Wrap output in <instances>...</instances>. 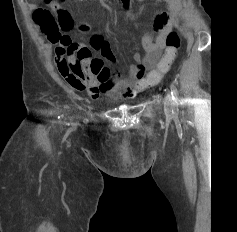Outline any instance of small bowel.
<instances>
[{
  "label": "small bowel",
  "mask_w": 237,
  "mask_h": 232,
  "mask_svg": "<svg viewBox=\"0 0 237 232\" xmlns=\"http://www.w3.org/2000/svg\"><path fill=\"white\" fill-rule=\"evenodd\" d=\"M162 1L167 3L168 10L156 17L155 33L144 36L146 55L143 58L138 54L133 56L134 65L127 78L122 77L109 42L99 34L93 36L89 46L71 41L58 46L54 63L59 73L74 89L86 91L93 99L102 94L122 99L139 95L148 87L145 75L158 62L181 9V0ZM92 52L100 53L102 58L92 57Z\"/></svg>",
  "instance_id": "small-bowel-1"
}]
</instances>
